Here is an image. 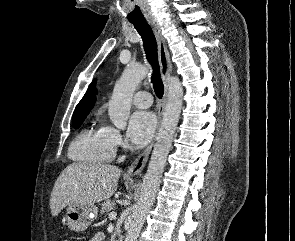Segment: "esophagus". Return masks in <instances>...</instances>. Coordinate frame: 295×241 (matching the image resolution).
Listing matches in <instances>:
<instances>
[{
    "label": "esophagus",
    "instance_id": "esophagus-1",
    "mask_svg": "<svg viewBox=\"0 0 295 241\" xmlns=\"http://www.w3.org/2000/svg\"><path fill=\"white\" fill-rule=\"evenodd\" d=\"M149 25L151 26L153 33L155 35L157 45H158V58L160 64V70L162 74V79L164 83V96L161 102L158 104V126L161 123V119L164 113L165 105L167 102L168 91H169V78L172 72V64L170 61L169 52L167 49L166 41L161 33V28L156 22L155 19L147 20ZM155 139L148 145V147L138 155V157L133 161L126 172V176L132 177L138 175L142 172L146 163L148 161L149 155L153 148Z\"/></svg>",
    "mask_w": 295,
    "mask_h": 241
}]
</instances>
